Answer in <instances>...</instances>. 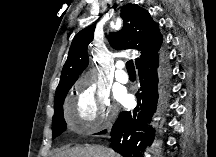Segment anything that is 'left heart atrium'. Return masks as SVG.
Returning <instances> with one entry per match:
<instances>
[{
	"mask_svg": "<svg viewBox=\"0 0 216 157\" xmlns=\"http://www.w3.org/2000/svg\"><path fill=\"white\" fill-rule=\"evenodd\" d=\"M117 97L124 105L128 104L130 101V97L125 92L119 93Z\"/></svg>",
	"mask_w": 216,
	"mask_h": 157,
	"instance_id": "obj_1",
	"label": "left heart atrium"
}]
</instances>
